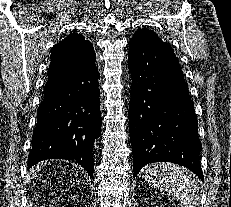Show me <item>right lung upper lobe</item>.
I'll use <instances>...</instances> for the list:
<instances>
[{
  "mask_svg": "<svg viewBox=\"0 0 231 207\" xmlns=\"http://www.w3.org/2000/svg\"><path fill=\"white\" fill-rule=\"evenodd\" d=\"M95 55L93 46L82 35L73 33L51 49V67L72 70L86 63Z\"/></svg>",
  "mask_w": 231,
  "mask_h": 207,
  "instance_id": "obj_1",
  "label": "right lung upper lobe"
}]
</instances>
